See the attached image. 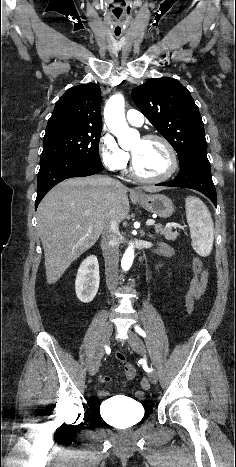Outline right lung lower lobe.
<instances>
[{"mask_svg": "<svg viewBox=\"0 0 236 467\" xmlns=\"http://www.w3.org/2000/svg\"><path fill=\"white\" fill-rule=\"evenodd\" d=\"M102 165L93 164L73 156H58L41 162L38 173L35 208L45 194L59 182L71 177H83L103 170Z\"/></svg>", "mask_w": 236, "mask_h": 467, "instance_id": "1", "label": "right lung lower lobe"}]
</instances>
